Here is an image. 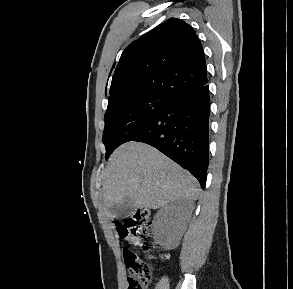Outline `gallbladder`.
<instances>
[{"label": "gallbladder", "instance_id": "gallbladder-1", "mask_svg": "<svg viewBox=\"0 0 293 289\" xmlns=\"http://www.w3.org/2000/svg\"><path fill=\"white\" fill-rule=\"evenodd\" d=\"M135 207L132 198L125 197L120 203H113L108 212L114 217L125 218L132 214Z\"/></svg>", "mask_w": 293, "mask_h": 289}]
</instances>
